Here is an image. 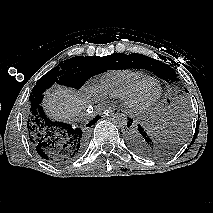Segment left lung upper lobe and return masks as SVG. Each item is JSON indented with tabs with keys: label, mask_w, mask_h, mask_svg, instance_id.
<instances>
[{
	"label": "left lung upper lobe",
	"mask_w": 213,
	"mask_h": 213,
	"mask_svg": "<svg viewBox=\"0 0 213 213\" xmlns=\"http://www.w3.org/2000/svg\"><path fill=\"white\" fill-rule=\"evenodd\" d=\"M128 67L130 68H144L156 74L158 77L166 80L169 84L177 83L179 81L178 74L163 62L150 58L145 55L130 54L128 56ZM186 92H188L185 89Z\"/></svg>",
	"instance_id": "1"
}]
</instances>
